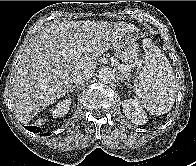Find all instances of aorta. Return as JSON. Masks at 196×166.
I'll use <instances>...</instances> for the list:
<instances>
[{
    "label": "aorta",
    "mask_w": 196,
    "mask_h": 166,
    "mask_svg": "<svg viewBox=\"0 0 196 166\" xmlns=\"http://www.w3.org/2000/svg\"><path fill=\"white\" fill-rule=\"evenodd\" d=\"M98 78L104 83H110L115 79V72L109 66H104L99 70Z\"/></svg>",
    "instance_id": "obj_1"
}]
</instances>
